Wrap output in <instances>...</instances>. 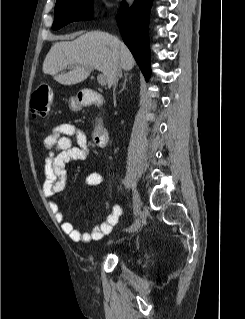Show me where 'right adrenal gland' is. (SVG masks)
I'll return each instance as SVG.
<instances>
[{
	"mask_svg": "<svg viewBox=\"0 0 245 319\" xmlns=\"http://www.w3.org/2000/svg\"><path fill=\"white\" fill-rule=\"evenodd\" d=\"M128 76H129L128 73L124 74V81H123V83H122V88H121V90L119 91V93H121L123 90L126 89V83H127V80H128Z\"/></svg>",
	"mask_w": 245,
	"mask_h": 319,
	"instance_id": "right-adrenal-gland-1",
	"label": "right adrenal gland"
}]
</instances>
